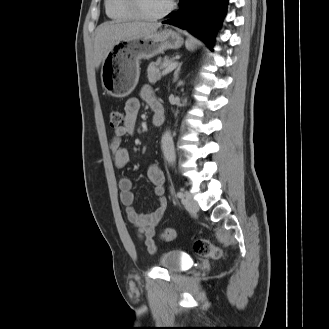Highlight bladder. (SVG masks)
I'll return each mask as SVG.
<instances>
[{
    "mask_svg": "<svg viewBox=\"0 0 329 329\" xmlns=\"http://www.w3.org/2000/svg\"><path fill=\"white\" fill-rule=\"evenodd\" d=\"M161 268L171 272H182L186 268L185 259L180 251L169 250L162 253L158 258Z\"/></svg>",
    "mask_w": 329,
    "mask_h": 329,
    "instance_id": "1",
    "label": "bladder"
}]
</instances>
